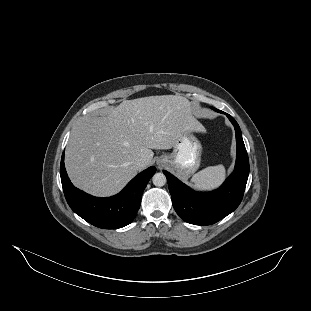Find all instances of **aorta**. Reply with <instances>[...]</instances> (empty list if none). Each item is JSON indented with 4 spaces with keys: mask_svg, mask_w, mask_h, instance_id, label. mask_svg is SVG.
I'll return each mask as SVG.
<instances>
[{
    "mask_svg": "<svg viewBox=\"0 0 311 311\" xmlns=\"http://www.w3.org/2000/svg\"><path fill=\"white\" fill-rule=\"evenodd\" d=\"M152 182L157 187H162L166 184L167 179L166 176L163 173H156L152 177Z\"/></svg>",
    "mask_w": 311,
    "mask_h": 311,
    "instance_id": "obj_1",
    "label": "aorta"
}]
</instances>
